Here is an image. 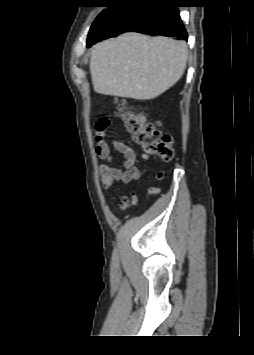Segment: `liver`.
I'll list each match as a JSON object with an SVG mask.
<instances>
[{
	"label": "liver",
	"mask_w": 254,
	"mask_h": 355,
	"mask_svg": "<svg viewBox=\"0 0 254 355\" xmlns=\"http://www.w3.org/2000/svg\"><path fill=\"white\" fill-rule=\"evenodd\" d=\"M187 59L184 41L129 32L93 47L90 74L99 94L149 100L177 83Z\"/></svg>",
	"instance_id": "obj_1"
}]
</instances>
